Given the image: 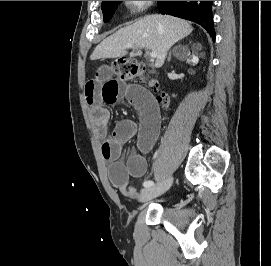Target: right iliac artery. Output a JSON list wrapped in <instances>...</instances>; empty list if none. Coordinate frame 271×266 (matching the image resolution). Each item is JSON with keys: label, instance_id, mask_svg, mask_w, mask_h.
<instances>
[{"label": "right iliac artery", "instance_id": "82829eb1", "mask_svg": "<svg viewBox=\"0 0 271 266\" xmlns=\"http://www.w3.org/2000/svg\"><path fill=\"white\" fill-rule=\"evenodd\" d=\"M143 186H144L145 188H150V187L154 186V182L151 181V180H147V181H145V182L143 183Z\"/></svg>", "mask_w": 271, "mask_h": 266}]
</instances>
